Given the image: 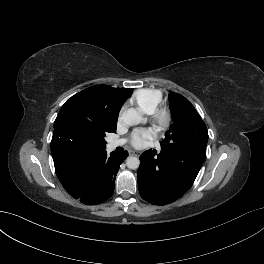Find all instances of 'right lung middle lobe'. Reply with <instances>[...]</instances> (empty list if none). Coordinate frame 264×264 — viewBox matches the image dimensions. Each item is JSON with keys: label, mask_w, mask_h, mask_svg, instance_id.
Listing matches in <instances>:
<instances>
[{"label": "right lung middle lobe", "mask_w": 264, "mask_h": 264, "mask_svg": "<svg viewBox=\"0 0 264 264\" xmlns=\"http://www.w3.org/2000/svg\"><path fill=\"white\" fill-rule=\"evenodd\" d=\"M116 122H108L94 98L83 91L69 98L54 123V133L62 143L77 151L105 150L106 133L116 131Z\"/></svg>", "instance_id": "obj_1"}]
</instances>
